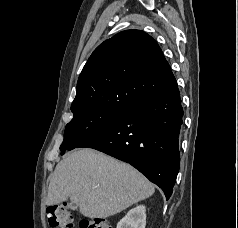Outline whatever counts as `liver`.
<instances>
[{"label": "liver", "mask_w": 238, "mask_h": 228, "mask_svg": "<svg viewBox=\"0 0 238 228\" xmlns=\"http://www.w3.org/2000/svg\"><path fill=\"white\" fill-rule=\"evenodd\" d=\"M153 193V184L132 166L85 148L57 164L46 203L51 206L70 198L85 217L106 218Z\"/></svg>", "instance_id": "liver-1"}]
</instances>
